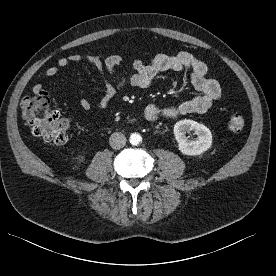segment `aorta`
<instances>
[{
  "instance_id": "aorta-1",
  "label": "aorta",
  "mask_w": 276,
  "mask_h": 276,
  "mask_svg": "<svg viewBox=\"0 0 276 276\" xmlns=\"http://www.w3.org/2000/svg\"><path fill=\"white\" fill-rule=\"evenodd\" d=\"M142 140V137L138 133H133L130 136V143L132 145H138Z\"/></svg>"
}]
</instances>
